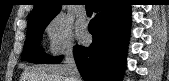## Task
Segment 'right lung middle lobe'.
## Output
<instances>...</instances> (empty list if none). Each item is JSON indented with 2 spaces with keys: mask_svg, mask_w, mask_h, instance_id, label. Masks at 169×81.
Here are the masks:
<instances>
[{
  "mask_svg": "<svg viewBox=\"0 0 169 81\" xmlns=\"http://www.w3.org/2000/svg\"><path fill=\"white\" fill-rule=\"evenodd\" d=\"M51 20L52 19L42 20L28 25L21 61L46 64L52 59V57L44 53L40 46L43 31Z\"/></svg>",
  "mask_w": 169,
  "mask_h": 81,
  "instance_id": "dd1d6c3e",
  "label": "right lung middle lobe"
}]
</instances>
